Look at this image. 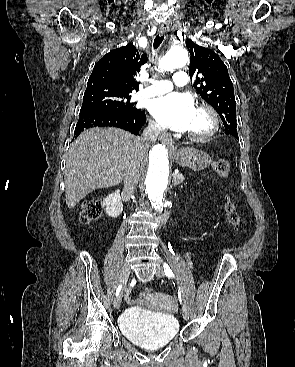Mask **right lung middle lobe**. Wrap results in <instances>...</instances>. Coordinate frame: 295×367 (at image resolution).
<instances>
[{
  "label": "right lung middle lobe",
  "instance_id": "1",
  "mask_svg": "<svg viewBox=\"0 0 295 367\" xmlns=\"http://www.w3.org/2000/svg\"><path fill=\"white\" fill-rule=\"evenodd\" d=\"M129 94H121L104 88L86 89L80 113L93 111L135 112Z\"/></svg>",
  "mask_w": 295,
  "mask_h": 367
}]
</instances>
